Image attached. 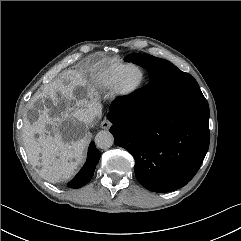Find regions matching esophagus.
Masks as SVG:
<instances>
[{"instance_id":"34e87169","label":"esophagus","mask_w":241,"mask_h":241,"mask_svg":"<svg viewBox=\"0 0 241 241\" xmlns=\"http://www.w3.org/2000/svg\"><path fill=\"white\" fill-rule=\"evenodd\" d=\"M111 126V122L108 120V119H104L102 122H101V128L102 129H109Z\"/></svg>"}]
</instances>
